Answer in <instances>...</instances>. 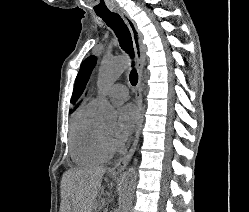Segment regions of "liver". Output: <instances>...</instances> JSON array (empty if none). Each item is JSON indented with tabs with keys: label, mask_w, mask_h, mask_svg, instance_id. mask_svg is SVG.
<instances>
[{
	"label": "liver",
	"mask_w": 249,
	"mask_h": 212,
	"mask_svg": "<svg viewBox=\"0 0 249 212\" xmlns=\"http://www.w3.org/2000/svg\"><path fill=\"white\" fill-rule=\"evenodd\" d=\"M105 172L104 166H86L65 172L67 212H93Z\"/></svg>",
	"instance_id": "liver-1"
}]
</instances>
